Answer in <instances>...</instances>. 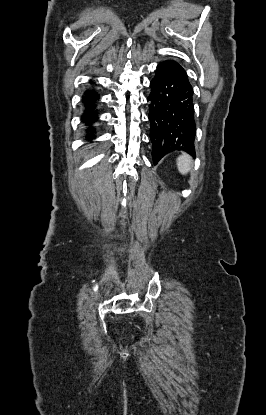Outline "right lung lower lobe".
Returning <instances> with one entry per match:
<instances>
[{
	"instance_id": "98d812e1",
	"label": "right lung lower lobe",
	"mask_w": 266,
	"mask_h": 415,
	"mask_svg": "<svg viewBox=\"0 0 266 415\" xmlns=\"http://www.w3.org/2000/svg\"><path fill=\"white\" fill-rule=\"evenodd\" d=\"M100 94L95 89H87L82 97L83 102V114H82V122L86 126V138L91 140L95 138V128L93 124L98 121L99 112L97 109V105L99 103Z\"/></svg>"
}]
</instances>
